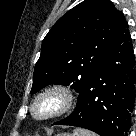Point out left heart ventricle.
I'll use <instances>...</instances> for the list:
<instances>
[{"instance_id": "left-heart-ventricle-1", "label": "left heart ventricle", "mask_w": 136, "mask_h": 136, "mask_svg": "<svg viewBox=\"0 0 136 136\" xmlns=\"http://www.w3.org/2000/svg\"><path fill=\"white\" fill-rule=\"evenodd\" d=\"M57 105H58L57 99H55L54 97H49L41 100L37 104L35 111L38 115H46L54 111Z\"/></svg>"}]
</instances>
